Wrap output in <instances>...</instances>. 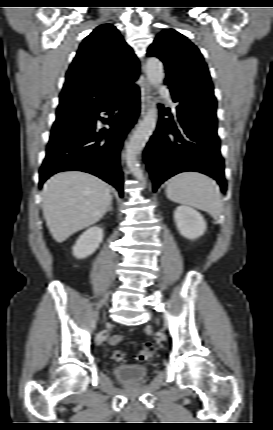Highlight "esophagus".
<instances>
[{
  "mask_svg": "<svg viewBox=\"0 0 273 430\" xmlns=\"http://www.w3.org/2000/svg\"><path fill=\"white\" fill-rule=\"evenodd\" d=\"M151 100L150 85L146 78L141 84V117H144L149 109Z\"/></svg>",
  "mask_w": 273,
  "mask_h": 430,
  "instance_id": "34e87169",
  "label": "esophagus"
}]
</instances>
